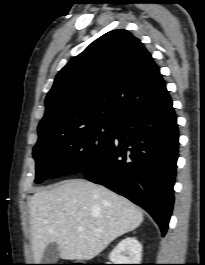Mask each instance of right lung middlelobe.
Masks as SVG:
<instances>
[{
	"mask_svg": "<svg viewBox=\"0 0 205 265\" xmlns=\"http://www.w3.org/2000/svg\"><path fill=\"white\" fill-rule=\"evenodd\" d=\"M117 123L92 122L62 132L38 131L33 148L36 183L81 172L112 140Z\"/></svg>",
	"mask_w": 205,
	"mask_h": 265,
	"instance_id": "1",
	"label": "right lung middle lobe"
}]
</instances>
